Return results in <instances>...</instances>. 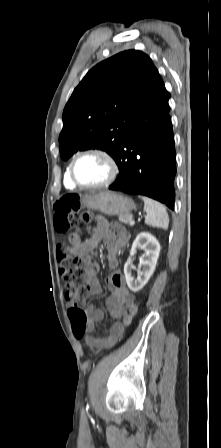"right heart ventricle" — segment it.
<instances>
[{
    "label": "right heart ventricle",
    "mask_w": 221,
    "mask_h": 448,
    "mask_svg": "<svg viewBox=\"0 0 221 448\" xmlns=\"http://www.w3.org/2000/svg\"><path fill=\"white\" fill-rule=\"evenodd\" d=\"M70 164H71V163H69V165L67 166V168H66V170H65V173H64V186H65L67 189H74V188H76L77 186L74 185V184L71 182L70 177H69V168H70Z\"/></svg>",
    "instance_id": "right-heart-ventricle-1"
}]
</instances>
